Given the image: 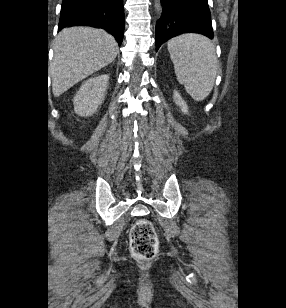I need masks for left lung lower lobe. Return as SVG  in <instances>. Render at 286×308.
<instances>
[{"instance_id": "obj_1", "label": "left lung lower lobe", "mask_w": 286, "mask_h": 308, "mask_svg": "<svg viewBox=\"0 0 286 308\" xmlns=\"http://www.w3.org/2000/svg\"><path fill=\"white\" fill-rule=\"evenodd\" d=\"M162 16L156 24V51L168 39L182 33L213 38L208 0H161Z\"/></svg>"}]
</instances>
